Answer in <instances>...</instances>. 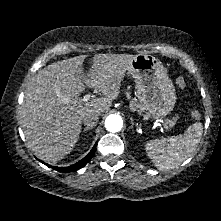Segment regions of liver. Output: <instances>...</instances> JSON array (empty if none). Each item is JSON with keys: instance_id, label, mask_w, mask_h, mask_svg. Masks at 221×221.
Here are the masks:
<instances>
[{"instance_id": "1", "label": "liver", "mask_w": 221, "mask_h": 221, "mask_svg": "<svg viewBox=\"0 0 221 221\" xmlns=\"http://www.w3.org/2000/svg\"><path fill=\"white\" fill-rule=\"evenodd\" d=\"M80 55L40 70L30 81L21 109V125L28 147L41 160L56 162L78 142L86 113L102 114L119 95L120 85L135 58L130 54H96L90 74L84 76ZM85 86L104 97L84 103Z\"/></svg>"}]
</instances>
